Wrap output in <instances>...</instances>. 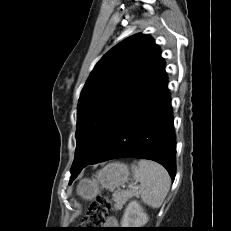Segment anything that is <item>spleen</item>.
Listing matches in <instances>:
<instances>
[{
  "mask_svg": "<svg viewBox=\"0 0 231 231\" xmlns=\"http://www.w3.org/2000/svg\"><path fill=\"white\" fill-rule=\"evenodd\" d=\"M132 168L133 179L141 183V200L152 208H159L170 189L171 179L167 170L150 160H139Z\"/></svg>",
  "mask_w": 231,
  "mask_h": 231,
  "instance_id": "spleen-1",
  "label": "spleen"
}]
</instances>
